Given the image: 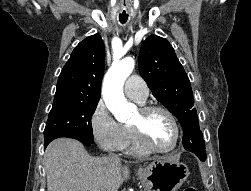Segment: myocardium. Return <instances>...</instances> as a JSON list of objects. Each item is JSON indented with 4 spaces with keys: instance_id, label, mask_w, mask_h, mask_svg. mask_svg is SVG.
Returning <instances> with one entry per match:
<instances>
[{
    "instance_id": "obj_1",
    "label": "myocardium",
    "mask_w": 251,
    "mask_h": 191,
    "mask_svg": "<svg viewBox=\"0 0 251 191\" xmlns=\"http://www.w3.org/2000/svg\"><path fill=\"white\" fill-rule=\"evenodd\" d=\"M140 111L146 117L156 111H161V112L165 113L173 122V125L175 127V131H176V136H177L176 144L171 150H159V149L155 148L148 140L143 123L132 124L131 127L133 128L140 144L144 148H146L148 151L155 153V154L172 155V154L176 153L182 145L183 134H182V130H181L179 121H178L177 117L175 116V114L171 110H169L168 108L161 106V105H143L140 107Z\"/></svg>"
}]
</instances>
